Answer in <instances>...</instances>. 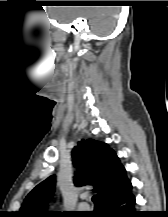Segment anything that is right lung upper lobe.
I'll return each mask as SVG.
<instances>
[{
  "label": "right lung upper lobe",
  "mask_w": 168,
  "mask_h": 217,
  "mask_svg": "<svg viewBox=\"0 0 168 217\" xmlns=\"http://www.w3.org/2000/svg\"><path fill=\"white\" fill-rule=\"evenodd\" d=\"M73 164L78 169L75 175L76 186L92 185L97 193L99 206L123 193L131 183L126 170L116 153L108 144L82 139L72 150ZM55 188L52 175L38 184L25 198L19 217H51L57 212L46 211L47 202Z\"/></svg>",
  "instance_id": "1"
}]
</instances>
